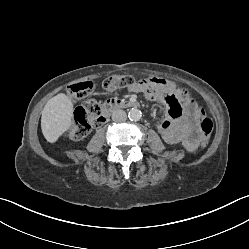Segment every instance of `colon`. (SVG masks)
<instances>
[{
  "label": "colon",
  "instance_id": "1",
  "mask_svg": "<svg viewBox=\"0 0 249 249\" xmlns=\"http://www.w3.org/2000/svg\"><path fill=\"white\" fill-rule=\"evenodd\" d=\"M138 84V81L131 76H110L104 80L103 87L112 91L116 89L130 88ZM93 88V83L84 81L73 83L69 86L68 93L73 98H83L87 96ZM102 106L95 100L87 101L77 108L74 114V123L69 130V137L72 140H81L85 138L92 127L102 121ZM200 129L203 135V144L205 145L213 131V122L201 111Z\"/></svg>",
  "mask_w": 249,
  "mask_h": 249
}]
</instances>
